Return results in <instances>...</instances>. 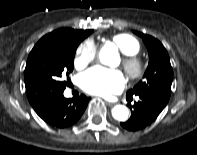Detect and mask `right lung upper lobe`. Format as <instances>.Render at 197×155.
Segmentation results:
<instances>
[{"mask_svg":"<svg viewBox=\"0 0 197 155\" xmlns=\"http://www.w3.org/2000/svg\"><path fill=\"white\" fill-rule=\"evenodd\" d=\"M53 32H55V33H71L76 36L85 37V38L90 35V30H74L71 28H60V29L55 30ZM36 107H38V106H35L33 108H36Z\"/></svg>","mask_w":197,"mask_h":155,"instance_id":"right-lung-upper-lobe-1","label":"right lung upper lobe"}]
</instances>
